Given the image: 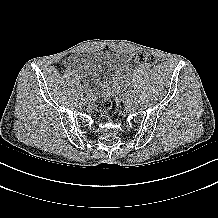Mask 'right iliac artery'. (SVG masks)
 <instances>
[{
  "instance_id": "1",
  "label": "right iliac artery",
  "mask_w": 218,
  "mask_h": 218,
  "mask_svg": "<svg viewBox=\"0 0 218 218\" xmlns=\"http://www.w3.org/2000/svg\"><path fill=\"white\" fill-rule=\"evenodd\" d=\"M82 88H85V86H84V85H81V86H80V89H82ZM85 89H86V88H85ZM86 90H87V89H86Z\"/></svg>"
}]
</instances>
